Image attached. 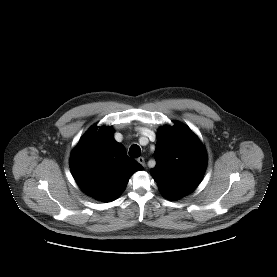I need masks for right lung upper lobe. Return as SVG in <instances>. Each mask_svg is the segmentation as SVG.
<instances>
[{
	"mask_svg": "<svg viewBox=\"0 0 277 277\" xmlns=\"http://www.w3.org/2000/svg\"><path fill=\"white\" fill-rule=\"evenodd\" d=\"M113 133L111 127L92 126L70 157V169L80 189L104 202L116 199L125 189L130 174L143 169L127 156Z\"/></svg>",
	"mask_w": 277,
	"mask_h": 277,
	"instance_id": "obj_1",
	"label": "right lung upper lobe"
}]
</instances>
